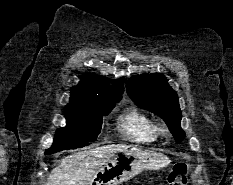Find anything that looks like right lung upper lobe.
Here are the masks:
<instances>
[{"label": "right lung upper lobe", "instance_id": "cb5924a9", "mask_svg": "<svg viewBox=\"0 0 233 185\" xmlns=\"http://www.w3.org/2000/svg\"><path fill=\"white\" fill-rule=\"evenodd\" d=\"M124 79L121 78L110 85V81L102 76L89 74L83 76L79 85L72 87L69 105L90 106L102 102L119 101L124 92Z\"/></svg>", "mask_w": 233, "mask_h": 185}]
</instances>
